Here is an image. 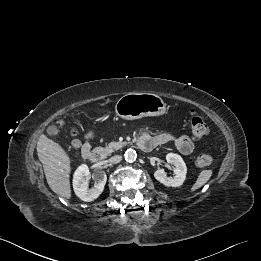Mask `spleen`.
<instances>
[{"mask_svg": "<svg viewBox=\"0 0 261 261\" xmlns=\"http://www.w3.org/2000/svg\"><path fill=\"white\" fill-rule=\"evenodd\" d=\"M211 176H212V170L201 171L195 184L191 188V192H194L197 189L201 188L204 184L208 182Z\"/></svg>", "mask_w": 261, "mask_h": 261, "instance_id": "obj_1", "label": "spleen"}]
</instances>
